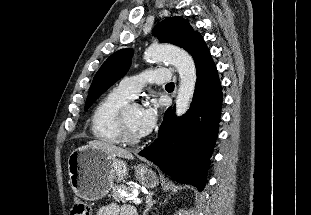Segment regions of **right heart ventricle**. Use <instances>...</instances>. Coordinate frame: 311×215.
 I'll return each mask as SVG.
<instances>
[{"label":"right heart ventricle","mask_w":311,"mask_h":215,"mask_svg":"<svg viewBox=\"0 0 311 215\" xmlns=\"http://www.w3.org/2000/svg\"><path fill=\"white\" fill-rule=\"evenodd\" d=\"M130 100L129 97L115 88L99 101L91 117V130L97 140L108 144L122 142L117 116L119 110Z\"/></svg>","instance_id":"obj_1"}]
</instances>
